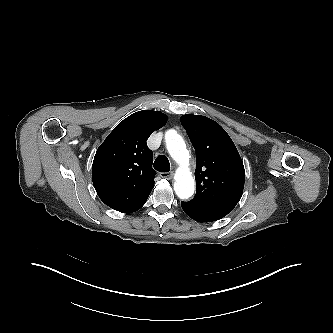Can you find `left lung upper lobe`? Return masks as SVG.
Returning <instances> with one entry per match:
<instances>
[{
	"label": "left lung upper lobe",
	"instance_id": "left-lung-upper-lobe-1",
	"mask_svg": "<svg viewBox=\"0 0 333 333\" xmlns=\"http://www.w3.org/2000/svg\"><path fill=\"white\" fill-rule=\"evenodd\" d=\"M180 119L196 150V195L190 202L226 216L243 193L241 157L230 136L215 121L192 114Z\"/></svg>",
	"mask_w": 333,
	"mask_h": 333
}]
</instances>
